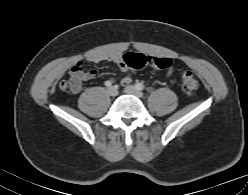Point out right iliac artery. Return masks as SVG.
Returning <instances> with one entry per match:
<instances>
[{
  "instance_id": "82829eb1",
  "label": "right iliac artery",
  "mask_w": 248,
  "mask_h": 195,
  "mask_svg": "<svg viewBox=\"0 0 248 195\" xmlns=\"http://www.w3.org/2000/svg\"><path fill=\"white\" fill-rule=\"evenodd\" d=\"M112 85L111 81H106L105 86L110 87Z\"/></svg>"
}]
</instances>
